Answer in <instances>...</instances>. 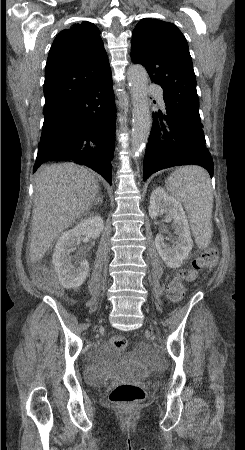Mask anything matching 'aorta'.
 Segmentation results:
<instances>
[{
  "label": "aorta",
  "mask_w": 245,
  "mask_h": 450,
  "mask_svg": "<svg viewBox=\"0 0 245 450\" xmlns=\"http://www.w3.org/2000/svg\"><path fill=\"white\" fill-rule=\"evenodd\" d=\"M132 95V150L142 155L151 129L148 98V73L141 65H132L127 71Z\"/></svg>",
  "instance_id": "obj_1"
}]
</instances>
